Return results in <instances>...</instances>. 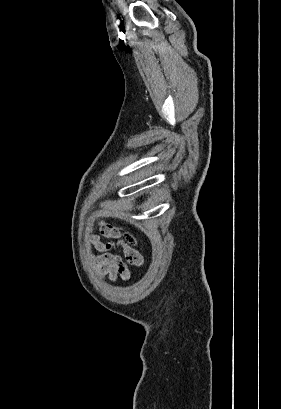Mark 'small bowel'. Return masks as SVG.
Here are the masks:
<instances>
[{
    "instance_id": "small-bowel-1",
    "label": "small bowel",
    "mask_w": 281,
    "mask_h": 409,
    "mask_svg": "<svg viewBox=\"0 0 281 409\" xmlns=\"http://www.w3.org/2000/svg\"><path fill=\"white\" fill-rule=\"evenodd\" d=\"M97 224L99 226L89 227L88 232L90 235L87 237V242L100 252V254L96 256L100 273L108 276L111 281H116L118 277L123 280H128L131 276L129 267H136L142 264V257L139 251L131 250V244L124 243L120 239V232L110 224L101 223L100 221ZM98 235L112 239L113 242L104 243L100 240ZM115 247L122 248L127 263L123 261L121 256L111 252Z\"/></svg>"
}]
</instances>
